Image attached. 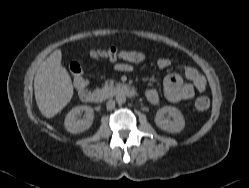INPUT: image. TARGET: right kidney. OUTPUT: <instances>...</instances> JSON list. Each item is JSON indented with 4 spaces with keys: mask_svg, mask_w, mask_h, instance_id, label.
<instances>
[{
    "mask_svg": "<svg viewBox=\"0 0 249 188\" xmlns=\"http://www.w3.org/2000/svg\"><path fill=\"white\" fill-rule=\"evenodd\" d=\"M84 112L83 119L78 120V116ZM93 109L90 106H76L65 117L64 126L70 133H81L88 130L93 123Z\"/></svg>",
    "mask_w": 249,
    "mask_h": 188,
    "instance_id": "1",
    "label": "right kidney"
}]
</instances>
